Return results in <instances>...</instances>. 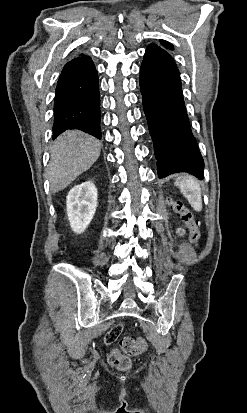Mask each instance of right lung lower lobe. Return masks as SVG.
<instances>
[{"mask_svg":"<svg viewBox=\"0 0 247 413\" xmlns=\"http://www.w3.org/2000/svg\"><path fill=\"white\" fill-rule=\"evenodd\" d=\"M68 129L101 139L98 74L91 59L68 62L57 83L53 139Z\"/></svg>","mask_w":247,"mask_h":413,"instance_id":"1","label":"right lung lower lobe"}]
</instances>
